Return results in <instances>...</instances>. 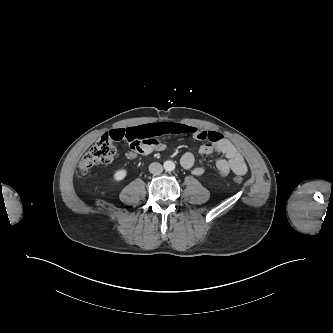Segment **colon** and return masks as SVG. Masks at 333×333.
<instances>
[{"mask_svg": "<svg viewBox=\"0 0 333 333\" xmlns=\"http://www.w3.org/2000/svg\"><path fill=\"white\" fill-rule=\"evenodd\" d=\"M114 156L115 148L111 140L107 137H102L83 156L79 166L80 172L86 174L96 165L111 162ZM235 182L242 183V178L235 177Z\"/></svg>", "mask_w": 333, "mask_h": 333, "instance_id": "obj_1", "label": "colon"}]
</instances>
